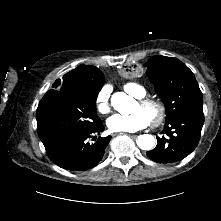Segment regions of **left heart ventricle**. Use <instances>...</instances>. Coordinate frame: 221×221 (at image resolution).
<instances>
[{
  "label": "left heart ventricle",
  "instance_id": "obj_1",
  "mask_svg": "<svg viewBox=\"0 0 221 221\" xmlns=\"http://www.w3.org/2000/svg\"><path fill=\"white\" fill-rule=\"evenodd\" d=\"M134 111H142L144 112L147 117L149 118V120H153L157 114V109L154 106H141L138 103L135 105Z\"/></svg>",
  "mask_w": 221,
  "mask_h": 221
}]
</instances>
